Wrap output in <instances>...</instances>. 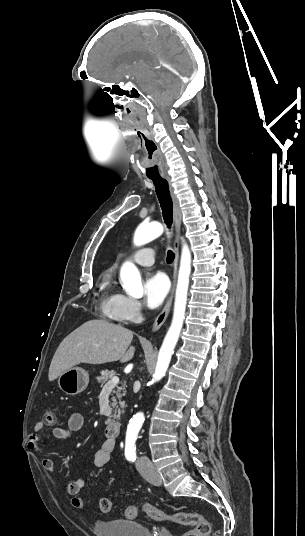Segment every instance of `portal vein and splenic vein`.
<instances>
[{
  "instance_id": "obj_1",
  "label": "portal vein and splenic vein",
  "mask_w": 305,
  "mask_h": 536,
  "mask_svg": "<svg viewBox=\"0 0 305 536\" xmlns=\"http://www.w3.org/2000/svg\"><path fill=\"white\" fill-rule=\"evenodd\" d=\"M118 382H119V378H117V376H114V378H111L110 382H107V384H105L104 388H113V386H116Z\"/></svg>"
}]
</instances>
